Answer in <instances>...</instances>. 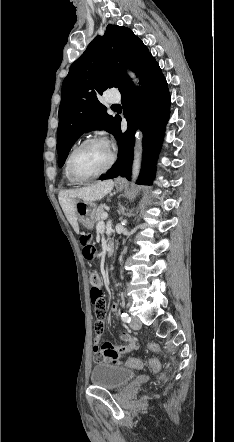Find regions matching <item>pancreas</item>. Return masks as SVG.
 Masks as SVG:
<instances>
[{
	"instance_id": "pancreas-1",
	"label": "pancreas",
	"mask_w": 234,
	"mask_h": 442,
	"mask_svg": "<svg viewBox=\"0 0 234 442\" xmlns=\"http://www.w3.org/2000/svg\"><path fill=\"white\" fill-rule=\"evenodd\" d=\"M107 205L106 204H101L95 212V221L96 222H100V220L102 219V214L105 213V210L107 209Z\"/></svg>"
}]
</instances>
